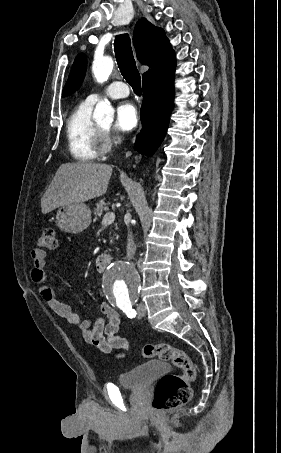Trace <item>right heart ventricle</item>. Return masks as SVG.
<instances>
[{"label": "right heart ventricle", "mask_w": 281, "mask_h": 453, "mask_svg": "<svg viewBox=\"0 0 281 453\" xmlns=\"http://www.w3.org/2000/svg\"><path fill=\"white\" fill-rule=\"evenodd\" d=\"M95 104L86 99L67 118L69 149L73 157L80 161H94L99 155L98 126L92 116Z\"/></svg>", "instance_id": "e07e8e85"}]
</instances>
